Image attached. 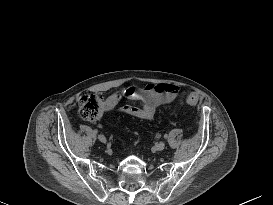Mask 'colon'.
<instances>
[{"label": "colon", "instance_id": "colon-1", "mask_svg": "<svg viewBox=\"0 0 273 205\" xmlns=\"http://www.w3.org/2000/svg\"><path fill=\"white\" fill-rule=\"evenodd\" d=\"M189 105L194 106L197 103V96L189 94L186 97ZM104 100L98 93H82L78 97V107L81 116L86 120H96L103 112Z\"/></svg>", "mask_w": 273, "mask_h": 205}]
</instances>
